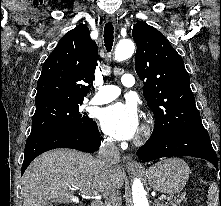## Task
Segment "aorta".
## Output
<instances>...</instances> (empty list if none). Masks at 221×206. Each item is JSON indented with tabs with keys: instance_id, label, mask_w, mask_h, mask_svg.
Instances as JSON below:
<instances>
[{
	"instance_id": "aorta-1",
	"label": "aorta",
	"mask_w": 221,
	"mask_h": 206,
	"mask_svg": "<svg viewBox=\"0 0 221 206\" xmlns=\"http://www.w3.org/2000/svg\"><path fill=\"white\" fill-rule=\"evenodd\" d=\"M135 45L131 39H122L116 45L114 59L123 61L131 57L134 53ZM132 198L134 206H149L146 192L140 179H135L132 185Z\"/></svg>"
}]
</instances>
